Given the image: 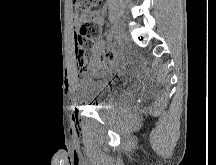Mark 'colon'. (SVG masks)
<instances>
[{
  "label": "colon",
  "instance_id": "obj_1",
  "mask_svg": "<svg viewBox=\"0 0 216 165\" xmlns=\"http://www.w3.org/2000/svg\"><path fill=\"white\" fill-rule=\"evenodd\" d=\"M76 10L83 16L82 24L75 34L76 64L80 73L94 77L105 70L112 59L108 52L95 51L100 36V26L90 17L91 10L102 0H73Z\"/></svg>",
  "mask_w": 216,
  "mask_h": 165
}]
</instances>
